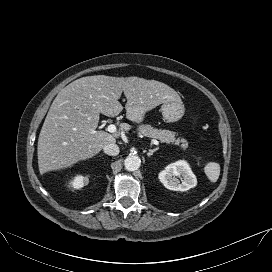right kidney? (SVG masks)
Here are the masks:
<instances>
[{
  "label": "right kidney",
  "instance_id": "obj_1",
  "mask_svg": "<svg viewBox=\"0 0 272 272\" xmlns=\"http://www.w3.org/2000/svg\"><path fill=\"white\" fill-rule=\"evenodd\" d=\"M88 182L89 179L87 176L77 175L69 182V186L75 189H80L87 185Z\"/></svg>",
  "mask_w": 272,
  "mask_h": 272
}]
</instances>
